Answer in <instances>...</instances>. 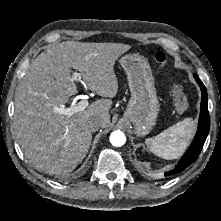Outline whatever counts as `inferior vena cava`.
<instances>
[{
	"instance_id": "1",
	"label": "inferior vena cava",
	"mask_w": 221,
	"mask_h": 221,
	"mask_svg": "<svg viewBox=\"0 0 221 221\" xmlns=\"http://www.w3.org/2000/svg\"><path fill=\"white\" fill-rule=\"evenodd\" d=\"M87 126L91 132H96L102 126V121L98 117L92 118L89 119Z\"/></svg>"
}]
</instances>
